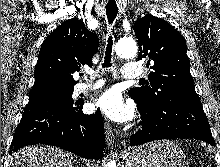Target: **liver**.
<instances>
[{"label":"liver","instance_id":"liver-1","mask_svg":"<svg viewBox=\"0 0 220 167\" xmlns=\"http://www.w3.org/2000/svg\"><path fill=\"white\" fill-rule=\"evenodd\" d=\"M68 152L52 146H26L8 159L9 167H73Z\"/></svg>","mask_w":220,"mask_h":167}]
</instances>
